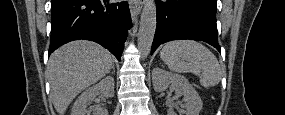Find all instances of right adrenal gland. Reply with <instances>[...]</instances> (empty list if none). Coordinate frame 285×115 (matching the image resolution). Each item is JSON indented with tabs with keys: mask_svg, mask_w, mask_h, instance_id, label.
Returning a JSON list of instances; mask_svg holds the SVG:
<instances>
[{
	"mask_svg": "<svg viewBox=\"0 0 285 115\" xmlns=\"http://www.w3.org/2000/svg\"><path fill=\"white\" fill-rule=\"evenodd\" d=\"M112 70H113V72H115V66H114V64L112 65V68H111Z\"/></svg>",
	"mask_w": 285,
	"mask_h": 115,
	"instance_id": "2a0ac1e0",
	"label": "right adrenal gland"
}]
</instances>
